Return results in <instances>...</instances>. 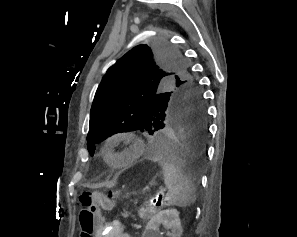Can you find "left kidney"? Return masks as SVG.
<instances>
[{"label": "left kidney", "mask_w": 297, "mask_h": 237, "mask_svg": "<svg viewBox=\"0 0 297 237\" xmlns=\"http://www.w3.org/2000/svg\"><path fill=\"white\" fill-rule=\"evenodd\" d=\"M161 224L165 229L171 230V232L168 231L166 233L168 237H181L183 230L179 218V212L176 209L159 211L147 223L142 237H161L162 233L159 231Z\"/></svg>", "instance_id": "1"}]
</instances>
